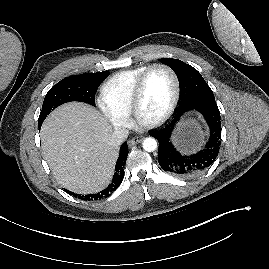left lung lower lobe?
<instances>
[{
    "mask_svg": "<svg viewBox=\"0 0 269 269\" xmlns=\"http://www.w3.org/2000/svg\"><path fill=\"white\" fill-rule=\"evenodd\" d=\"M199 111L210 128V138L206 145L197 153L185 155L180 153L171 141V134L187 111ZM159 142L158 161L161 168L179 178H194L207 170L216 160L221 144L220 112L215 100H194L179 106L172 122L151 134Z\"/></svg>",
    "mask_w": 269,
    "mask_h": 269,
    "instance_id": "left-lung-lower-lobe-1",
    "label": "left lung lower lobe"
}]
</instances>
